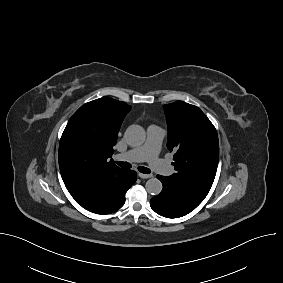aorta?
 I'll return each mask as SVG.
<instances>
[{
  "mask_svg": "<svg viewBox=\"0 0 283 283\" xmlns=\"http://www.w3.org/2000/svg\"><path fill=\"white\" fill-rule=\"evenodd\" d=\"M125 140L130 146H138L144 143L146 134L140 125H131L125 131ZM146 191L152 195H158L162 191V183L157 178H150L145 184Z\"/></svg>",
  "mask_w": 283,
  "mask_h": 283,
  "instance_id": "aorta-1",
  "label": "aorta"
}]
</instances>
